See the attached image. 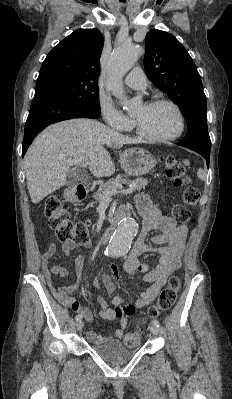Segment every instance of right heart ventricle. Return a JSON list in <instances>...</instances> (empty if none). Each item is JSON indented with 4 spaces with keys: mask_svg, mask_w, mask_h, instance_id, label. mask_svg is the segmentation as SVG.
<instances>
[{
    "mask_svg": "<svg viewBox=\"0 0 232 399\" xmlns=\"http://www.w3.org/2000/svg\"><path fill=\"white\" fill-rule=\"evenodd\" d=\"M130 130H131V124L128 127L124 128L122 131H130Z\"/></svg>",
    "mask_w": 232,
    "mask_h": 399,
    "instance_id": "1",
    "label": "right heart ventricle"
}]
</instances>
